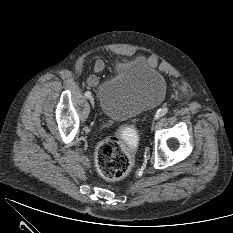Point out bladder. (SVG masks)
<instances>
[{
    "label": "bladder",
    "instance_id": "obj_1",
    "mask_svg": "<svg viewBox=\"0 0 233 233\" xmlns=\"http://www.w3.org/2000/svg\"><path fill=\"white\" fill-rule=\"evenodd\" d=\"M166 92L164 76L139 57L118 65L116 74L98 86L97 100L105 116L123 121L159 105Z\"/></svg>",
    "mask_w": 233,
    "mask_h": 233
}]
</instances>
